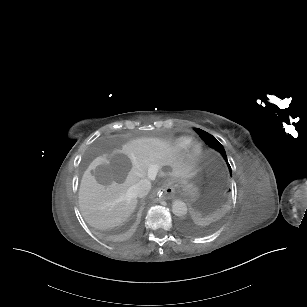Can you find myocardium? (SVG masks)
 <instances>
[{
    "label": "myocardium",
    "mask_w": 307,
    "mask_h": 307,
    "mask_svg": "<svg viewBox=\"0 0 307 307\" xmlns=\"http://www.w3.org/2000/svg\"><path fill=\"white\" fill-rule=\"evenodd\" d=\"M204 151V145L201 142L193 141L186 151V160L192 164L197 163L202 159Z\"/></svg>",
    "instance_id": "f54148a6"
}]
</instances>
